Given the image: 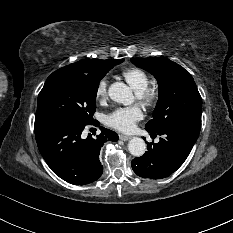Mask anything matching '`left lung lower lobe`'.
Returning a JSON list of instances; mask_svg holds the SVG:
<instances>
[{"mask_svg":"<svg viewBox=\"0 0 233 233\" xmlns=\"http://www.w3.org/2000/svg\"><path fill=\"white\" fill-rule=\"evenodd\" d=\"M201 129V113L187 115L170 124L158 135L160 141L147 143L148 151L132 160V169L140 177L162 179L175 172L191 152ZM151 134L155 132L148 131Z\"/></svg>","mask_w":233,"mask_h":233,"instance_id":"obj_1","label":"left lung lower lobe"}]
</instances>
